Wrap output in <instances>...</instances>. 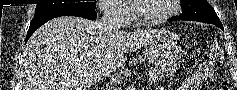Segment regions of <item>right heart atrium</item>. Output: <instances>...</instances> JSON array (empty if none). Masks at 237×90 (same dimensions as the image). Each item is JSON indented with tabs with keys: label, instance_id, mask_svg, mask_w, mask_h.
<instances>
[{
	"label": "right heart atrium",
	"instance_id": "obj_1",
	"mask_svg": "<svg viewBox=\"0 0 237 90\" xmlns=\"http://www.w3.org/2000/svg\"><path fill=\"white\" fill-rule=\"evenodd\" d=\"M97 5L103 6L102 11L112 20H128V11L119 0H99Z\"/></svg>",
	"mask_w": 237,
	"mask_h": 90
}]
</instances>
